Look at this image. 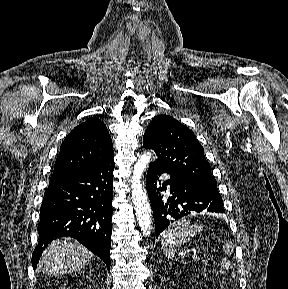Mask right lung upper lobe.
I'll return each instance as SVG.
<instances>
[{"mask_svg":"<svg viewBox=\"0 0 288 289\" xmlns=\"http://www.w3.org/2000/svg\"><path fill=\"white\" fill-rule=\"evenodd\" d=\"M112 157L113 144L106 126L97 118H89L63 141L53 175L93 168Z\"/></svg>","mask_w":288,"mask_h":289,"instance_id":"1","label":"right lung upper lobe"}]
</instances>
